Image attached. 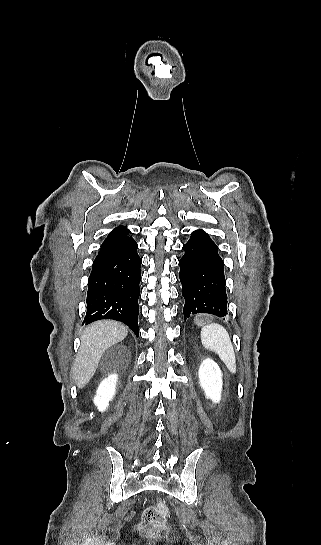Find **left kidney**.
I'll return each mask as SVG.
<instances>
[{
    "instance_id": "obj_1",
    "label": "left kidney",
    "mask_w": 321,
    "mask_h": 545,
    "mask_svg": "<svg viewBox=\"0 0 321 545\" xmlns=\"http://www.w3.org/2000/svg\"><path fill=\"white\" fill-rule=\"evenodd\" d=\"M198 375L200 387L205 391L207 399H212L213 403H219L223 385L220 367L212 359H205L199 367Z\"/></svg>"
}]
</instances>
